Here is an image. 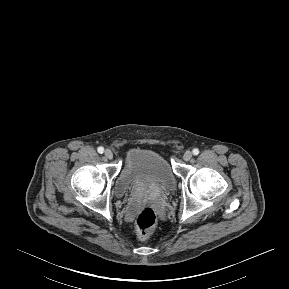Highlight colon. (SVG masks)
I'll list each match as a JSON object with an SVG mask.
<instances>
[{
    "label": "colon",
    "instance_id": "obj_1",
    "mask_svg": "<svg viewBox=\"0 0 289 289\" xmlns=\"http://www.w3.org/2000/svg\"><path fill=\"white\" fill-rule=\"evenodd\" d=\"M157 222V214L151 207H145L139 211L136 217V228L141 239L152 236Z\"/></svg>",
    "mask_w": 289,
    "mask_h": 289
}]
</instances>
